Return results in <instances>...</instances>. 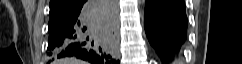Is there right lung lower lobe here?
Instances as JSON below:
<instances>
[{"label":"right lung lower lobe","instance_id":"98d812e1","mask_svg":"<svg viewBox=\"0 0 242 64\" xmlns=\"http://www.w3.org/2000/svg\"><path fill=\"white\" fill-rule=\"evenodd\" d=\"M116 0H81L68 17L48 27V63L76 57L91 64H117L110 45Z\"/></svg>","mask_w":242,"mask_h":64}]
</instances>
